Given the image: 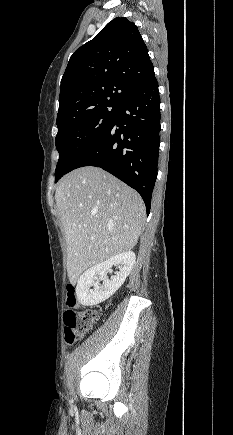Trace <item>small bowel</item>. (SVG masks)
Listing matches in <instances>:
<instances>
[{"label": "small bowel", "mask_w": 233, "mask_h": 435, "mask_svg": "<svg viewBox=\"0 0 233 435\" xmlns=\"http://www.w3.org/2000/svg\"><path fill=\"white\" fill-rule=\"evenodd\" d=\"M74 305H75V306L79 305V302H78V301H76Z\"/></svg>", "instance_id": "small-bowel-1"}]
</instances>
